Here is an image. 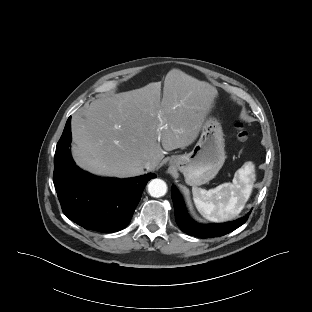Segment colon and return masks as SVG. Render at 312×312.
Listing matches in <instances>:
<instances>
[{
    "label": "colon",
    "instance_id": "colon-1",
    "mask_svg": "<svg viewBox=\"0 0 312 312\" xmlns=\"http://www.w3.org/2000/svg\"><path fill=\"white\" fill-rule=\"evenodd\" d=\"M235 128H236V137L238 141L246 142L248 140L249 135L244 125L241 122H237L235 124Z\"/></svg>",
    "mask_w": 312,
    "mask_h": 312
}]
</instances>
